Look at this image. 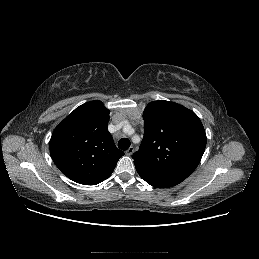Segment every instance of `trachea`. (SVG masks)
Wrapping results in <instances>:
<instances>
[{"label":"trachea","instance_id":"3493384b","mask_svg":"<svg viewBox=\"0 0 259 259\" xmlns=\"http://www.w3.org/2000/svg\"><path fill=\"white\" fill-rule=\"evenodd\" d=\"M118 147L121 150H127L130 147V140L127 138H122L118 142Z\"/></svg>","mask_w":259,"mask_h":259}]
</instances>
